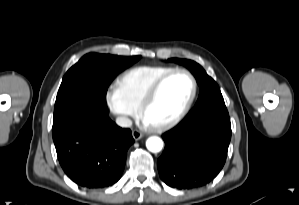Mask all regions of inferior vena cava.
I'll return each mask as SVG.
<instances>
[{
  "instance_id": "obj_1",
  "label": "inferior vena cava",
  "mask_w": 299,
  "mask_h": 205,
  "mask_svg": "<svg viewBox=\"0 0 299 205\" xmlns=\"http://www.w3.org/2000/svg\"><path fill=\"white\" fill-rule=\"evenodd\" d=\"M116 124L120 127H131L132 126V121L128 117L125 116H119L116 118Z\"/></svg>"
}]
</instances>
